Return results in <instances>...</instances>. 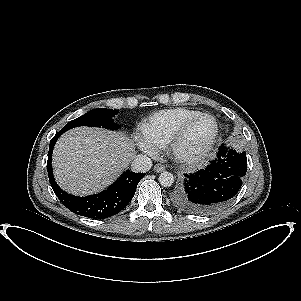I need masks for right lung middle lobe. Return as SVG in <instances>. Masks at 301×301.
I'll return each mask as SVG.
<instances>
[{"instance_id":"right-lung-middle-lobe-1","label":"right lung middle lobe","mask_w":301,"mask_h":301,"mask_svg":"<svg viewBox=\"0 0 301 301\" xmlns=\"http://www.w3.org/2000/svg\"><path fill=\"white\" fill-rule=\"evenodd\" d=\"M117 113L118 111L113 109H93L87 112L86 114L78 117L77 119L70 121L60 131L65 132L77 126H95L115 130L118 128V126L112 124V117L115 116Z\"/></svg>"}]
</instances>
